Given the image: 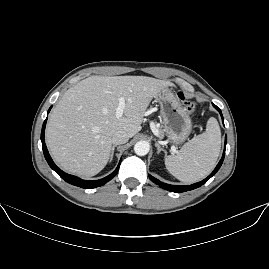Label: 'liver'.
Returning a JSON list of instances; mask_svg holds the SVG:
<instances>
[{
	"instance_id": "liver-1",
	"label": "liver",
	"mask_w": 269,
	"mask_h": 269,
	"mask_svg": "<svg viewBox=\"0 0 269 269\" xmlns=\"http://www.w3.org/2000/svg\"><path fill=\"white\" fill-rule=\"evenodd\" d=\"M174 84L146 76H91L69 88L46 126V143L66 172L92 177L107 164L112 135L123 130L133 137L141 129L152 98ZM123 116L116 118L119 98Z\"/></svg>"
}]
</instances>
